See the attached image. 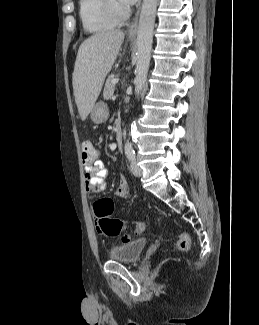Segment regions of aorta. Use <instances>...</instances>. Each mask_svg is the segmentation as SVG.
I'll return each mask as SVG.
<instances>
[{"label": "aorta", "instance_id": "obj_1", "mask_svg": "<svg viewBox=\"0 0 259 325\" xmlns=\"http://www.w3.org/2000/svg\"><path fill=\"white\" fill-rule=\"evenodd\" d=\"M158 0H143L137 31L135 94H141L150 65Z\"/></svg>", "mask_w": 259, "mask_h": 325}]
</instances>
